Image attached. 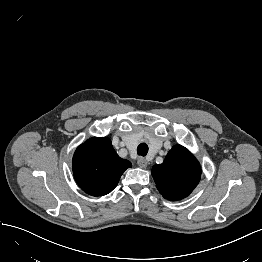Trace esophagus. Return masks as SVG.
<instances>
[{"label": "esophagus", "instance_id": "esophagus-1", "mask_svg": "<svg viewBox=\"0 0 262 262\" xmlns=\"http://www.w3.org/2000/svg\"><path fill=\"white\" fill-rule=\"evenodd\" d=\"M137 164L141 168H146L148 165V161L144 157H139L137 160Z\"/></svg>", "mask_w": 262, "mask_h": 262}]
</instances>
